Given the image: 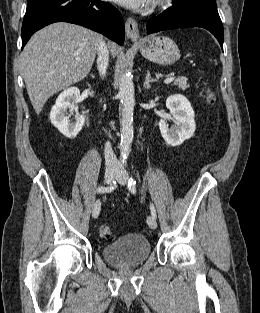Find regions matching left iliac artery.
I'll return each mask as SVG.
<instances>
[{
  "label": "left iliac artery",
  "mask_w": 260,
  "mask_h": 313,
  "mask_svg": "<svg viewBox=\"0 0 260 313\" xmlns=\"http://www.w3.org/2000/svg\"><path fill=\"white\" fill-rule=\"evenodd\" d=\"M128 187H129V190L131 191V193H133V194L136 193V180L133 177H131L129 179ZM150 211H151L152 216L156 219V217H157L156 209L152 203L150 204Z\"/></svg>",
  "instance_id": "left-iliac-artery-1"
}]
</instances>
